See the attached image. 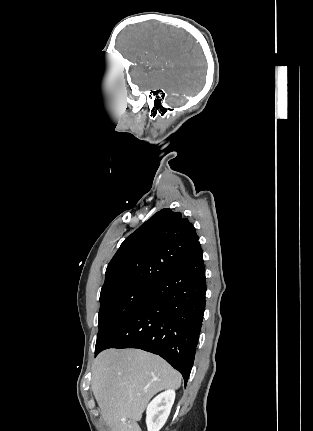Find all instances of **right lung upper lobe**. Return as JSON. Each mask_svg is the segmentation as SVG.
I'll return each instance as SVG.
<instances>
[{"label": "right lung upper lobe", "mask_w": 313, "mask_h": 431, "mask_svg": "<svg viewBox=\"0 0 313 431\" xmlns=\"http://www.w3.org/2000/svg\"><path fill=\"white\" fill-rule=\"evenodd\" d=\"M198 239L180 212L158 211L121 244L108 264L100 296L156 287L186 259Z\"/></svg>", "instance_id": "obj_1"}]
</instances>
